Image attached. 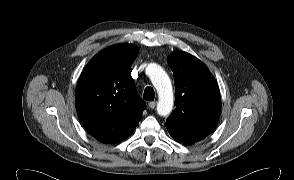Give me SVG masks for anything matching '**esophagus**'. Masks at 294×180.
<instances>
[{"instance_id":"obj_1","label":"esophagus","mask_w":294,"mask_h":180,"mask_svg":"<svg viewBox=\"0 0 294 180\" xmlns=\"http://www.w3.org/2000/svg\"><path fill=\"white\" fill-rule=\"evenodd\" d=\"M149 108L154 109L156 107V102L155 101H151L148 103Z\"/></svg>"}]
</instances>
